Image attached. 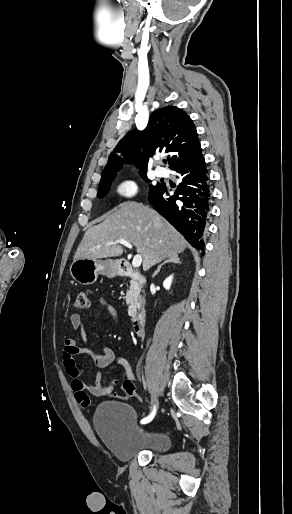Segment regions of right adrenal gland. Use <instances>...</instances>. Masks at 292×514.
<instances>
[{
  "mask_svg": "<svg viewBox=\"0 0 292 514\" xmlns=\"http://www.w3.org/2000/svg\"><path fill=\"white\" fill-rule=\"evenodd\" d=\"M164 264H181L180 262V258H178V256H173V258H168V260H165V262H163V264H160V266H158L156 272H154L152 278H155V276H157L158 272H160L162 266H164Z\"/></svg>",
  "mask_w": 292,
  "mask_h": 514,
  "instance_id": "1",
  "label": "right adrenal gland"
}]
</instances>
